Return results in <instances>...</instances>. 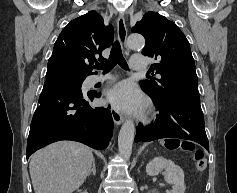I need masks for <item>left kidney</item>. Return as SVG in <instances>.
Wrapping results in <instances>:
<instances>
[{
    "mask_svg": "<svg viewBox=\"0 0 237 193\" xmlns=\"http://www.w3.org/2000/svg\"><path fill=\"white\" fill-rule=\"evenodd\" d=\"M162 171L165 180L172 184L171 193L185 192L184 172L174 162L163 157H155L146 166V172L149 176L158 175Z\"/></svg>",
    "mask_w": 237,
    "mask_h": 193,
    "instance_id": "obj_1",
    "label": "left kidney"
}]
</instances>
